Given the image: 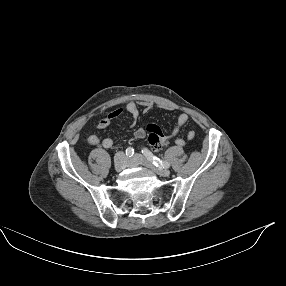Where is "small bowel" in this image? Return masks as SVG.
Returning <instances> with one entry per match:
<instances>
[{
  "mask_svg": "<svg viewBox=\"0 0 286 286\" xmlns=\"http://www.w3.org/2000/svg\"><path fill=\"white\" fill-rule=\"evenodd\" d=\"M142 106L145 108L146 111H150L154 108V105L151 102H143ZM125 110L128 112V114L131 116V126H135L137 119L140 115L139 105L135 101H129L126 106ZM123 113V108H118L111 113H109L107 116L103 117L98 122V128L99 129H105L107 128L115 119H117L121 114ZM189 116L186 113H181L177 117L176 124L174 128L171 131L170 136L176 137L178 133L180 132L181 128L188 122ZM135 136L137 138H144L146 135V131L144 128L139 127L134 132ZM195 137V132L193 130L188 131L187 133V139L192 140ZM87 142L91 145H99L101 144L104 148H111L113 146V141L110 138H105L104 140H101L97 135H88L87 136ZM167 143V140L164 139L162 141V145H165ZM175 144L178 147H183L186 144V140L180 137H177L175 139Z\"/></svg>",
  "mask_w": 286,
  "mask_h": 286,
  "instance_id": "small-bowel-1",
  "label": "small bowel"
}]
</instances>
